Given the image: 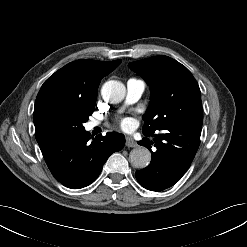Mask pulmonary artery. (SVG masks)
Returning <instances> with one entry per match:
<instances>
[{
	"label": "pulmonary artery",
	"instance_id": "e3ab8cb5",
	"mask_svg": "<svg viewBox=\"0 0 247 247\" xmlns=\"http://www.w3.org/2000/svg\"><path fill=\"white\" fill-rule=\"evenodd\" d=\"M146 84L143 80L140 79H129L126 84V103L127 104H133L137 102L144 90H145ZM100 124L97 120H92L89 122V128L92 129Z\"/></svg>",
	"mask_w": 247,
	"mask_h": 247
}]
</instances>
